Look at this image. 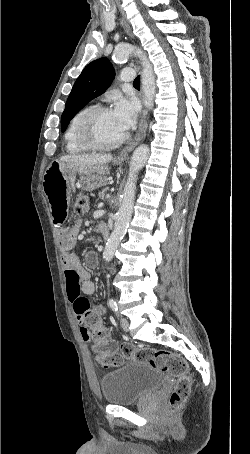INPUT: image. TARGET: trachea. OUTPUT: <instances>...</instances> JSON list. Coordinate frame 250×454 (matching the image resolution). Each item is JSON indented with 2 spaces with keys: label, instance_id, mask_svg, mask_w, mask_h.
I'll use <instances>...</instances> for the list:
<instances>
[{
  "label": "trachea",
  "instance_id": "1",
  "mask_svg": "<svg viewBox=\"0 0 250 454\" xmlns=\"http://www.w3.org/2000/svg\"><path fill=\"white\" fill-rule=\"evenodd\" d=\"M133 85L134 86H139L140 85V77L139 76L134 80Z\"/></svg>",
  "mask_w": 250,
  "mask_h": 454
}]
</instances>
